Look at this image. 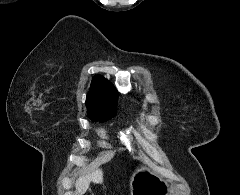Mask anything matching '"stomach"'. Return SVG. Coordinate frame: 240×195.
I'll list each match as a JSON object with an SVG mask.
<instances>
[{
  "label": "stomach",
  "instance_id": "1",
  "mask_svg": "<svg viewBox=\"0 0 240 195\" xmlns=\"http://www.w3.org/2000/svg\"><path fill=\"white\" fill-rule=\"evenodd\" d=\"M167 185L152 169L141 165L130 177L131 195H167Z\"/></svg>",
  "mask_w": 240,
  "mask_h": 195
}]
</instances>
